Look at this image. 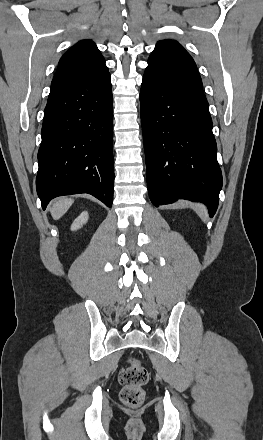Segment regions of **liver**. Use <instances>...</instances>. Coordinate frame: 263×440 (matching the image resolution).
Segmentation results:
<instances>
[{"label": "liver", "instance_id": "obj_1", "mask_svg": "<svg viewBox=\"0 0 263 440\" xmlns=\"http://www.w3.org/2000/svg\"><path fill=\"white\" fill-rule=\"evenodd\" d=\"M73 204V199L60 198L56 200L50 209L51 215L54 220L60 219Z\"/></svg>", "mask_w": 263, "mask_h": 440}]
</instances>
